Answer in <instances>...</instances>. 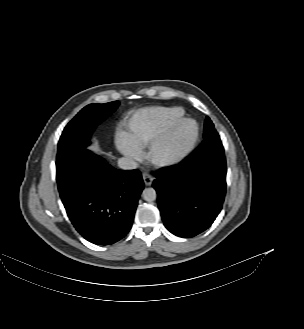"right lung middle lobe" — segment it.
<instances>
[{
    "mask_svg": "<svg viewBox=\"0 0 304 329\" xmlns=\"http://www.w3.org/2000/svg\"><path fill=\"white\" fill-rule=\"evenodd\" d=\"M118 101L106 104H89L84 107L64 128L58 143L57 160L85 149L96 126L113 113Z\"/></svg>",
    "mask_w": 304,
    "mask_h": 329,
    "instance_id": "1",
    "label": "right lung middle lobe"
}]
</instances>
